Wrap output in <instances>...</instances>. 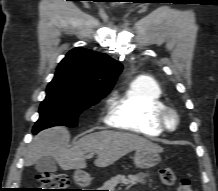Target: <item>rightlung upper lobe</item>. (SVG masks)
Instances as JSON below:
<instances>
[{
    "label": "right lung upper lobe",
    "mask_w": 218,
    "mask_h": 191,
    "mask_svg": "<svg viewBox=\"0 0 218 191\" xmlns=\"http://www.w3.org/2000/svg\"><path fill=\"white\" fill-rule=\"evenodd\" d=\"M121 70L108 55L77 47L59 63L54 79L84 94H108Z\"/></svg>",
    "instance_id": "cb5924a9"
}]
</instances>
